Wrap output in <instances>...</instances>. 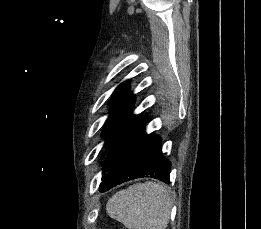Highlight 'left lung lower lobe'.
Returning <instances> with one entry per match:
<instances>
[{
  "label": "left lung lower lobe",
  "instance_id": "1",
  "mask_svg": "<svg viewBox=\"0 0 261 229\" xmlns=\"http://www.w3.org/2000/svg\"><path fill=\"white\" fill-rule=\"evenodd\" d=\"M146 122V116H139L110 148L103 167L101 192L145 176L169 183L171 162L162 155L161 138L146 135Z\"/></svg>",
  "mask_w": 261,
  "mask_h": 229
}]
</instances>
